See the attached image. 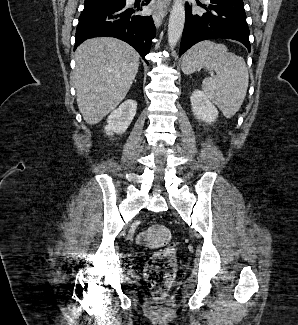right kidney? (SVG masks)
Returning <instances> with one entry per match:
<instances>
[{"mask_svg":"<svg viewBox=\"0 0 298 325\" xmlns=\"http://www.w3.org/2000/svg\"><path fill=\"white\" fill-rule=\"evenodd\" d=\"M136 108V100L127 98L118 108L112 110L107 118V124L104 126L106 134H115V132L122 134L125 132L136 114Z\"/></svg>","mask_w":298,"mask_h":325,"instance_id":"ca27d5eb","label":"right kidney"}]
</instances>
